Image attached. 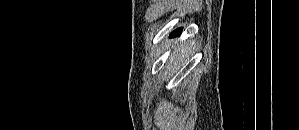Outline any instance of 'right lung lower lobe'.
<instances>
[{"mask_svg": "<svg viewBox=\"0 0 299 130\" xmlns=\"http://www.w3.org/2000/svg\"><path fill=\"white\" fill-rule=\"evenodd\" d=\"M181 32H182V28H179V29L173 31V33L171 34V36L179 35Z\"/></svg>", "mask_w": 299, "mask_h": 130, "instance_id": "1", "label": "right lung lower lobe"}]
</instances>
